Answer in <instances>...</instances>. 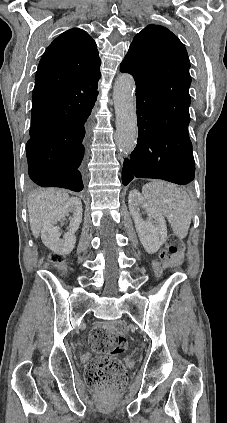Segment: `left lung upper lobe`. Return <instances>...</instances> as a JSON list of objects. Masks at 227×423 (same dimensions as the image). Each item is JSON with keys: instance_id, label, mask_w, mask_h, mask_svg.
Here are the masks:
<instances>
[{"instance_id": "5c2ea615", "label": "left lung upper lobe", "mask_w": 227, "mask_h": 423, "mask_svg": "<svg viewBox=\"0 0 227 423\" xmlns=\"http://www.w3.org/2000/svg\"><path fill=\"white\" fill-rule=\"evenodd\" d=\"M189 68L182 42L159 25L138 33L120 64V71L135 79L137 106L166 113L189 112Z\"/></svg>"}]
</instances>
